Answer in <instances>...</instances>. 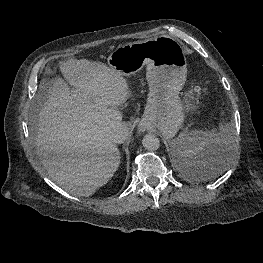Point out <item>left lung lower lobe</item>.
I'll return each instance as SVG.
<instances>
[{
  "label": "left lung lower lobe",
  "instance_id": "left-lung-lower-lobe-1",
  "mask_svg": "<svg viewBox=\"0 0 263 263\" xmlns=\"http://www.w3.org/2000/svg\"><path fill=\"white\" fill-rule=\"evenodd\" d=\"M177 167L186 177L208 179L223 166L224 156L217 147H210L192 158L177 157Z\"/></svg>",
  "mask_w": 263,
  "mask_h": 263
}]
</instances>
